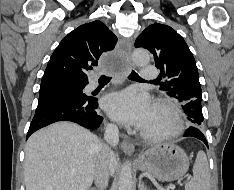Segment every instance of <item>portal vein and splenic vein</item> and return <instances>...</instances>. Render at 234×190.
I'll list each match as a JSON object with an SVG mask.
<instances>
[{"instance_id":"18ae733b","label":"portal vein and splenic vein","mask_w":234,"mask_h":190,"mask_svg":"<svg viewBox=\"0 0 234 190\" xmlns=\"http://www.w3.org/2000/svg\"><path fill=\"white\" fill-rule=\"evenodd\" d=\"M168 188H170V189H174V188H175V185L170 184V185L168 186Z\"/></svg>"}]
</instances>
